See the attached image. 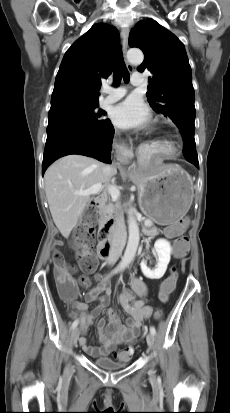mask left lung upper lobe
Here are the masks:
<instances>
[{
  "instance_id": "obj_1",
  "label": "left lung upper lobe",
  "mask_w": 230,
  "mask_h": 413,
  "mask_svg": "<svg viewBox=\"0 0 230 413\" xmlns=\"http://www.w3.org/2000/svg\"><path fill=\"white\" fill-rule=\"evenodd\" d=\"M129 45L140 48L145 56L137 70L152 74L146 93L150 106L168 116L181 134H194V88L184 44L158 22L147 18L130 31Z\"/></svg>"
}]
</instances>
